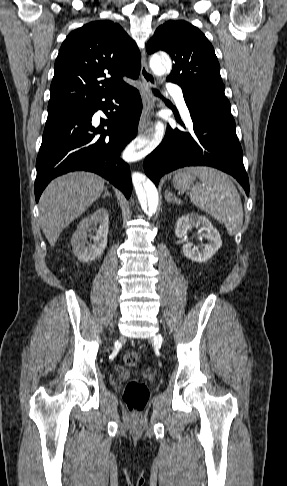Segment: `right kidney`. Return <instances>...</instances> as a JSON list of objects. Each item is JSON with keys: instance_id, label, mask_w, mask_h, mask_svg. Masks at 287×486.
I'll use <instances>...</instances> for the list:
<instances>
[{"instance_id": "right-kidney-1", "label": "right kidney", "mask_w": 287, "mask_h": 486, "mask_svg": "<svg viewBox=\"0 0 287 486\" xmlns=\"http://www.w3.org/2000/svg\"><path fill=\"white\" fill-rule=\"evenodd\" d=\"M109 213L105 208H99L94 213L88 215L80 221L71 238V245L74 255L83 262L93 261L98 258L107 246V235L109 231ZM99 223L96 236L92 239L93 244L89 243L87 232L93 224Z\"/></svg>"}]
</instances>
